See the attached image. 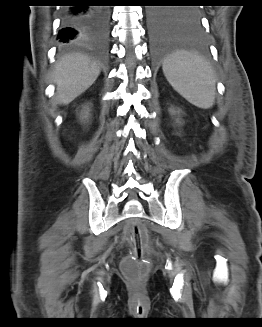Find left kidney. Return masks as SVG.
Wrapping results in <instances>:
<instances>
[{"mask_svg": "<svg viewBox=\"0 0 262 327\" xmlns=\"http://www.w3.org/2000/svg\"><path fill=\"white\" fill-rule=\"evenodd\" d=\"M171 113H172V114H175V113H176V111H174V110H171Z\"/></svg>", "mask_w": 262, "mask_h": 327, "instance_id": "1", "label": "left kidney"}]
</instances>
